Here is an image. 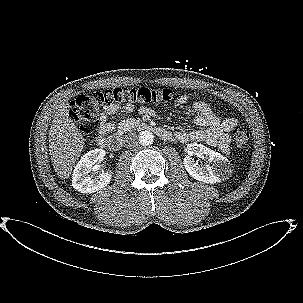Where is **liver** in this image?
Here are the masks:
<instances>
[{"instance_id":"6515ba94","label":"liver","mask_w":303,"mask_h":303,"mask_svg":"<svg viewBox=\"0 0 303 303\" xmlns=\"http://www.w3.org/2000/svg\"><path fill=\"white\" fill-rule=\"evenodd\" d=\"M84 139L69 117L68 98L56 108L49 132V154L60 179H68L83 150Z\"/></svg>"}]
</instances>
